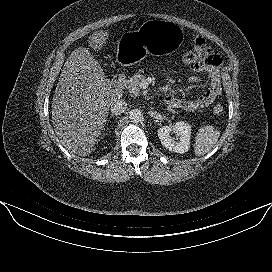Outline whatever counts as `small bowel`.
Segmentation results:
<instances>
[{
    "label": "small bowel",
    "mask_w": 272,
    "mask_h": 272,
    "mask_svg": "<svg viewBox=\"0 0 272 272\" xmlns=\"http://www.w3.org/2000/svg\"><path fill=\"white\" fill-rule=\"evenodd\" d=\"M194 43L195 48L202 51V56L191 66V71L195 74L208 75L207 91L192 99L179 98L175 95H169L165 99L169 106L185 111H195L211 105L221 92L220 56L213 52L202 38L197 37Z\"/></svg>",
    "instance_id": "small-bowel-1"
}]
</instances>
